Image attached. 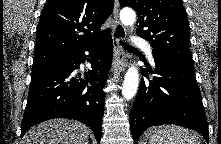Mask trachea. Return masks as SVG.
I'll use <instances>...</instances> for the list:
<instances>
[{"label": "trachea", "mask_w": 221, "mask_h": 144, "mask_svg": "<svg viewBox=\"0 0 221 144\" xmlns=\"http://www.w3.org/2000/svg\"><path fill=\"white\" fill-rule=\"evenodd\" d=\"M121 44H122V46H123L125 49H127V50H135L134 47H132L131 45H129V44L123 42V41H121Z\"/></svg>", "instance_id": "1"}]
</instances>
